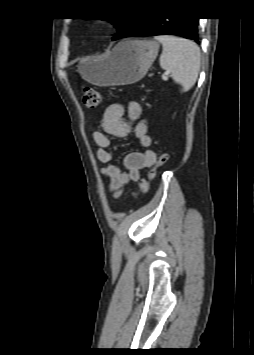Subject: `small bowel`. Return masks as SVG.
<instances>
[{"label":"small bowel","instance_id":"c3829d8e","mask_svg":"<svg viewBox=\"0 0 254 355\" xmlns=\"http://www.w3.org/2000/svg\"><path fill=\"white\" fill-rule=\"evenodd\" d=\"M125 108L119 103L110 104L104 111L101 120V129L93 131V139L97 145V158L105 164L103 175L109 180V190L113 197L118 198L123 188L133 181H138L140 172L149 169L156 162V153L150 149L152 140L148 135L147 122L142 117V106L131 101L127 107V117H124ZM132 133L144 148L142 152L128 153L123 159L125 171L113 164L110 137L122 138Z\"/></svg>","mask_w":254,"mask_h":355}]
</instances>
